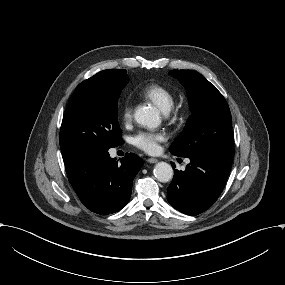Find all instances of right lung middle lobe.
Returning a JSON list of instances; mask_svg holds the SVG:
<instances>
[{
	"instance_id": "right-lung-middle-lobe-1",
	"label": "right lung middle lobe",
	"mask_w": 285,
	"mask_h": 285,
	"mask_svg": "<svg viewBox=\"0 0 285 285\" xmlns=\"http://www.w3.org/2000/svg\"><path fill=\"white\" fill-rule=\"evenodd\" d=\"M128 81L126 70H103L77 86L60 130L63 159L123 144L117 102Z\"/></svg>"
}]
</instances>
